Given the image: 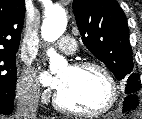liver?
I'll use <instances>...</instances> for the list:
<instances>
[{"mask_svg":"<svg viewBox=\"0 0 142 119\" xmlns=\"http://www.w3.org/2000/svg\"><path fill=\"white\" fill-rule=\"evenodd\" d=\"M0 119H6L5 117H3V116H0ZM42 119H45V118H42Z\"/></svg>","mask_w":142,"mask_h":119,"instance_id":"obj_1","label":"liver"}]
</instances>
